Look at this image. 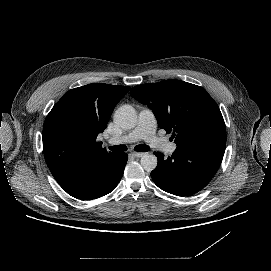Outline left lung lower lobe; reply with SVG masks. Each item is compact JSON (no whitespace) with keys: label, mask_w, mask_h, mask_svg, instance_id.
<instances>
[{"label":"left lung lower lobe","mask_w":271,"mask_h":271,"mask_svg":"<svg viewBox=\"0 0 271 271\" xmlns=\"http://www.w3.org/2000/svg\"><path fill=\"white\" fill-rule=\"evenodd\" d=\"M225 149L209 146L177 147L172 156L155 152L157 167L151 172L154 183L162 190L190 196L202 190L218 170Z\"/></svg>","instance_id":"0a47b994"}]
</instances>
